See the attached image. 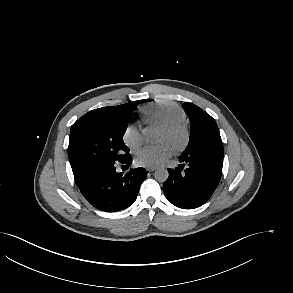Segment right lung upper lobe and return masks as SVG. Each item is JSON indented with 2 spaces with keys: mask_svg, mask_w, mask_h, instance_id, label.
I'll return each instance as SVG.
<instances>
[{
  "mask_svg": "<svg viewBox=\"0 0 293 293\" xmlns=\"http://www.w3.org/2000/svg\"><path fill=\"white\" fill-rule=\"evenodd\" d=\"M113 107H116V106H111V107H104V108H100V109H95V110H92L90 111L89 113H95V112H100V111H106V110H110L112 109ZM74 178H75V182L78 185H81L89 175H81V174H77V173H74Z\"/></svg>",
  "mask_w": 293,
  "mask_h": 293,
  "instance_id": "cb5924a9",
  "label": "right lung upper lobe"
}]
</instances>
